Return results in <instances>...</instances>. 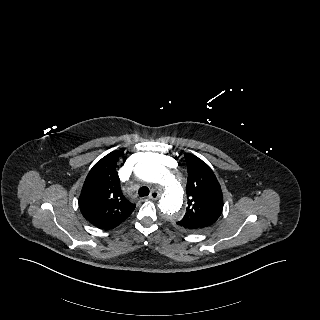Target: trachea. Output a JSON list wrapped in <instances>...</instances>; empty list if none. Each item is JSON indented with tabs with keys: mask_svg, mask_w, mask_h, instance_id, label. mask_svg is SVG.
Returning <instances> with one entry per match:
<instances>
[{
	"mask_svg": "<svg viewBox=\"0 0 320 320\" xmlns=\"http://www.w3.org/2000/svg\"><path fill=\"white\" fill-rule=\"evenodd\" d=\"M138 194L140 197H145L149 195V189L146 186H143L139 189Z\"/></svg>",
	"mask_w": 320,
	"mask_h": 320,
	"instance_id": "obj_1",
	"label": "trachea"
}]
</instances>
